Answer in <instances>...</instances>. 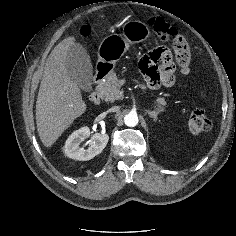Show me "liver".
Wrapping results in <instances>:
<instances>
[{
    "label": "liver",
    "mask_w": 236,
    "mask_h": 236,
    "mask_svg": "<svg viewBox=\"0 0 236 236\" xmlns=\"http://www.w3.org/2000/svg\"><path fill=\"white\" fill-rule=\"evenodd\" d=\"M74 44V37L59 42L44 67L36 101V124L45 147H51L87 108L78 85L69 77L65 66L67 54Z\"/></svg>",
    "instance_id": "1"
}]
</instances>
